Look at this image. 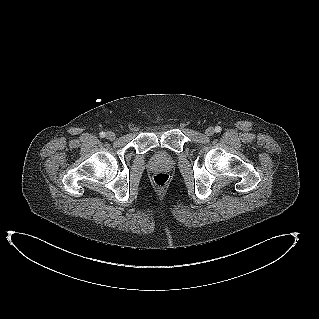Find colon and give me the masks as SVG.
I'll return each instance as SVG.
<instances>
[{"label":"colon","mask_w":319,"mask_h":319,"mask_svg":"<svg viewBox=\"0 0 319 319\" xmlns=\"http://www.w3.org/2000/svg\"><path fill=\"white\" fill-rule=\"evenodd\" d=\"M169 174L166 172H158L153 176V182L158 187H164L169 182Z\"/></svg>","instance_id":"obj_1"}]
</instances>
